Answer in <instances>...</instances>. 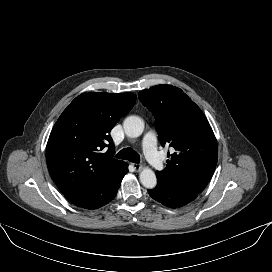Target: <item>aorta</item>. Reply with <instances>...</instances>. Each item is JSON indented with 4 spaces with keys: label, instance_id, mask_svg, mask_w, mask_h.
I'll list each match as a JSON object with an SVG mask.
<instances>
[{
    "label": "aorta",
    "instance_id": "obj_1",
    "mask_svg": "<svg viewBox=\"0 0 272 272\" xmlns=\"http://www.w3.org/2000/svg\"><path fill=\"white\" fill-rule=\"evenodd\" d=\"M123 128L128 137L137 138L144 130V122L138 116H129L124 120ZM139 177L145 188L153 189L157 184L156 175L150 168H144Z\"/></svg>",
    "mask_w": 272,
    "mask_h": 272
}]
</instances>
